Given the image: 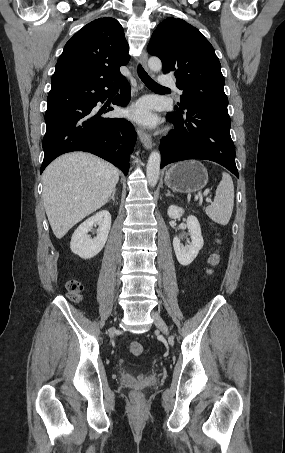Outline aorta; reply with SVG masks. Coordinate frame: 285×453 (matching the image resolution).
<instances>
[{"instance_id": "obj_1", "label": "aorta", "mask_w": 285, "mask_h": 453, "mask_svg": "<svg viewBox=\"0 0 285 453\" xmlns=\"http://www.w3.org/2000/svg\"><path fill=\"white\" fill-rule=\"evenodd\" d=\"M149 68L154 72H159L162 68L161 60L157 57H151L148 60ZM160 162H161V155L157 150H154L150 153L148 158L147 167H146V175L147 180L150 186L154 187L160 175Z\"/></svg>"}]
</instances>
